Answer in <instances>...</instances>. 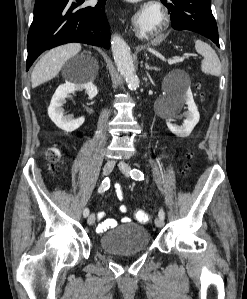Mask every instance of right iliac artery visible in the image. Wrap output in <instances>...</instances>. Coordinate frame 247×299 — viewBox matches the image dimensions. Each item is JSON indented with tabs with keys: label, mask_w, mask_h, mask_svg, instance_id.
<instances>
[{
	"label": "right iliac artery",
	"mask_w": 247,
	"mask_h": 299,
	"mask_svg": "<svg viewBox=\"0 0 247 299\" xmlns=\"http://www.w3.org/2000/svg\"><path fill=\"white\" fill-rule=\"evenodd\" d=\"M109 187H110V181H109L108 178H105V179L102 181V183H101V185H100V187H99V189H98V192H99V193H103V192L106 191ZM83 215H84V217H87V216L89 215V209H88V208H86V209L83 211Z\"/></svg>",
	"instance_id": "1"
}]
</instances>
